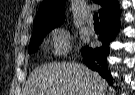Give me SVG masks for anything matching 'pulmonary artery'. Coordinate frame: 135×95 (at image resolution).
<instances>
[{"mask_svg": "<svg viewBox=\"0 0 135 95\" xmlns=\"http://www.w3.org/2000/svg\"><path fill=\"white\" fill-rule=\"evenodd\" d=\"M86 31L89 33V34H93L94 33V27L92 26V24L90 23V20H89V23L88 25L86 26Z\"/></svg>", "mask_w": 135, "mask_h": 95, "instance_id": "e3ab8cb5", "label": "pulmonary artery"}]
</instances>
